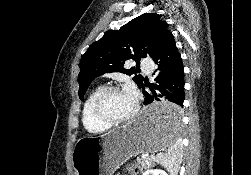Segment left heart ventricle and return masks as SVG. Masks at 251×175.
Masks as SVG:
<instances>
[{"label": "left heart ventricle", "instance_id": "left-heart-ventricle-1", "mask_svg": "<svg viewBox=\"0 0 251 175\" xmlns=\"http://www.w3.org/2000/svg\"><path fill=\"white\" fill-rule=\"evenodd\" d=\"M133 108L134 105L126 98L122 90L111 92L103 102L104 112L113 119L128 115Z\"/></svg>", "mask_w": 251, "mask_h": 175}]
</instances>
